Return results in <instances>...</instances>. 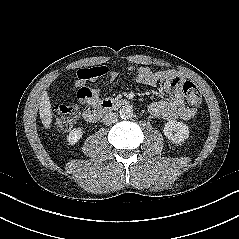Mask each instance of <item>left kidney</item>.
I'll use <instances>...</instances> for the list:
<instances>
[{
	"label": "left kidney",
	"mask_w": 239,
	"mask_h": 239,
	"mask_svg": "<svg viewBox=\"0 0 239 239\" xmlns=\"http://www.w3.org/2000/svg\"><path fill=\"white\" fill-rule=\"evenodd\" d=\"M164 135L174 143L184 142L189 137V128L183 122L168 121L163 129Z\"/></svg>",
	"instance_id": "left-kidney-1"
}]
</instances>
